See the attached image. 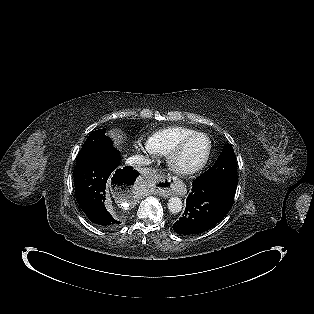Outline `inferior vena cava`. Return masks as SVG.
<instances>
[{
    "mask_svg": "<svg viewBox=\"0 0 314 314\" xmlns=\"http://www.w3.org/2000/svg\"><path fill=\"white\" fill-rule=\"evenodd\" d=\"M126 164L130 166H142L150 164V160L143 155H135L126 160Z\"/></svg>",
    "mask_w": 314,
    "mask_h": 314,
    "instance_id": "obj_1",
    "label": "inferior vena cava"
}]
</instances>
